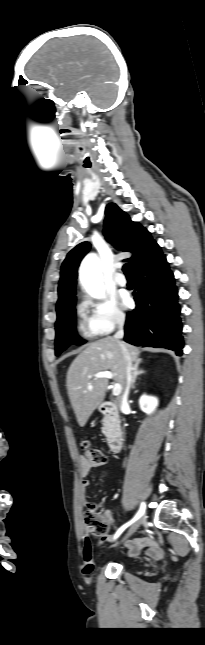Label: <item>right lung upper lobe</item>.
<instances>
[{
	"mask_svg": "<svg viewBox=\"0 0 205 645\" xmlns=\"http://www.w3.org/2000/svg\"><path fill=\"white\" fill-rule=\"evenodd\" d=\"M104 234L115 248L133 253L128 259L134 271L162 255L159 245L150 233L139 223L130 220L116 204H108L105 210ZM90 243L82 242L73 248L61 266V278L58 286L57 314L68 308L75 301V284L77 267L89 251Z\"/></svg>",
	"mask_w": 205,
	"mask_h": 645,
	"instance_id": "cb5924a9",
	"label": "right lung upper lobe"
}]
</instances>
